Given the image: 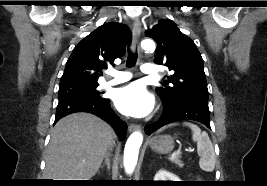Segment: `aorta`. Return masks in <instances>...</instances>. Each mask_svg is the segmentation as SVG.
<instances>
[{"instance_id":"1","label":"aorta","mask_w":267,"mask_h":186,"mask_svg":"<svg viewBox=\"0 0 267 186\" xmlns=\"http://www.w3.org/2000/svg\"><path fill=\"white\" fill-rule=\"evenodd\" d=\"M141 47L146 51L153 52L155 50V43L151 39H145L141 42ZM142 142L143 135L139 131L133 132L126 142L123 162L127 174H132L136 167Z\"/></svg>"}]
</instances>
